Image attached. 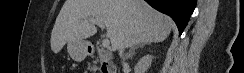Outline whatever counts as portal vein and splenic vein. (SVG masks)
Returning a JSON list of instances; mask_svg holds the SVG:
<instances>
[{"label":"portal vein and splenic vein","mask_w":244,"mask_h":73,"mask_svg":"<svg viewBox=\"0 0 244 73\" xmlns=\"http://www.w3.org/2000/svg\"><path fill=\"white\" fill-rule=\"evenodd\" d=\"M89 21L92 24H97L102 30L105 28V25L102 22H100V21H98L96 19H90ZM102 47L103 48H109L110 47L109 39L105 38V39L102 40Z\"/></svg>","instance_id":"18ae733b"}]
</instances>
